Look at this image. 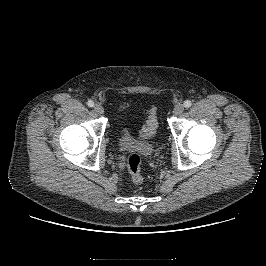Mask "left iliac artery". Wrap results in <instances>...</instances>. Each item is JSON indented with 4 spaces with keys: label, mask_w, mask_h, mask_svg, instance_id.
I'll list each match as a JSON object with an SVG mask.
<instances>
[{
    "label": "left iliac artery",
    "mask_w": 266,
    "mask_h": 266,
    "mask_svg": "<svg viewBox=\"0 0 266 266\" xmlns=\"http://www.w3.org/2000/svg\"><path fill=\"white\" fill-rule=\"evenodd\" d=\"M191 105H192V102H191L190 100H186V101L184 102V107H185V108H189V107H191Z\"/></svg>",
    "instance_id": "left-iliac-artery-1"
}]
</instances>
